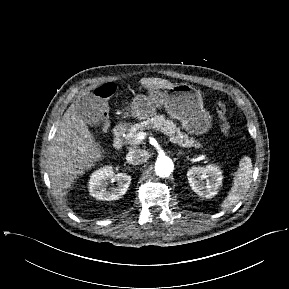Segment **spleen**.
Segmentation results:
<instances>
[{
    "instance_id": "obj_1",
    "label": "spleen",
    "mask_w": 289,
    "mask_h": 289,
    "mask_svg": "<svg viewBox=\"0 0 289 289\" xmlns=\"http://www.w3.org/2000/svg\"><path fill=\"white\" fill-rule=\"evenodd\" d=\"M252 162L249 157H244L239 163V168L235 173L232 187L228 196L222 202L221 207L225 209L232 208L247 193L252 182Z\"/></svg>"
}]
</instances>
